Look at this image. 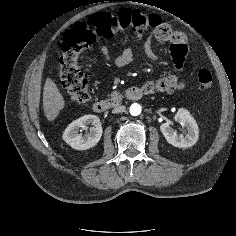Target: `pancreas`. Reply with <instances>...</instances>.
<instances>
[{
	"instance_id": "1",
	"label": "pancreas",
	"mask_w": 236,
	"mask_h": 236,
	"mask_svg": "<svg viewBox=\"0 0 236 236\" xmlns=\"http://www.w3.org/2000/svg\"><path fill=\"white\" fill-rule=\"evenodd\" d=\"M118 96V92L117 91H114V92H112L111 94H110V97L111 98H115V97H117Z\"/></svg>"
}]
</instances>
